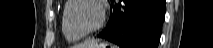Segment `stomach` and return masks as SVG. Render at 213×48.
Returning <instances> with one entry per match:
<instances>
[{"instance_id":"0dacf381","label":"stomach","mask_w":213,"mask_h":48,"mask_svg":"<svg viewBox=\"0 0 213 48\" xmlns=\"http://www.w3.org/2000/svg\"><path fill=\"white\" fill-rule=\"evenodd\" d=\"M106 47L113 48L112 45L108 43H96L93 47H88V48H106Z\"/></svg>"}]
</instances>
